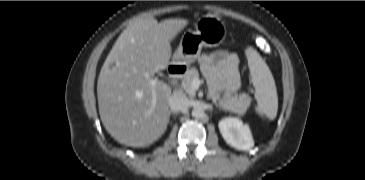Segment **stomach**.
<instances>
[{
  "label": "stomach",
  "instance_id": "obj_1",
  "mask_svg": "<svg viewBox=\"0 0 365 180\" xmlns=\"http://www.w3.org/2000/svg\"><path fill=\"white\" fill-rule=\"evenodd\" d=\"M226 34V26L218 18H199L195 23V30L183 34L177 50L173 53L171 64L190 66L203 47H218L225 41Z\"/></svg>",
  "mask_w": 365,
  "mask_h": 180
}]
</instances>
